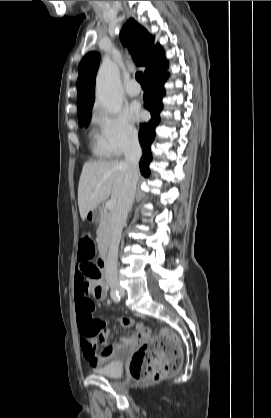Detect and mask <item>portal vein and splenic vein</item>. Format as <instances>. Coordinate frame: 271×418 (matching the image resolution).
<instances>
[{"label": "portal vein and splenic vein", "mask_w": 271, "mask_h": 418, "mask_svg": "<svg viewBox=\"0 0 271 418\" xmlns=\"http://www.w3.org/2000/svg\"><path fill=\"white\" fill-rule=\"evenodd\" d=\"M116 205V202L114 200H110L105 204V208L107 210H112Z\"/></svg>", "instance_id": "obj_1"}]
</instances>
